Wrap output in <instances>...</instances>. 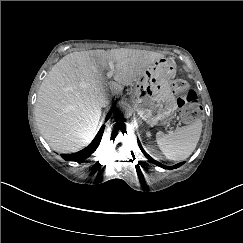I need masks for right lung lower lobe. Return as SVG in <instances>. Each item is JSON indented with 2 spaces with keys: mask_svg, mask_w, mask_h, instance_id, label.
I'll list each match as a JSON object with an SVG mask.
<instances>
[{
  "mask_svg": "<svg viewBox=\"0 0 243 243\" xmlns=\"http://www.w3.org/2000/svg\"><path fill=\"white\" fill-rule=\"evenodd\" d=\"M112 111L109 112V114L106 117V120L109 119V117L111 116ZM104 125L101 127V129L99 130L98 134L96 135V137L94 138V140L91 142V144L86 147L85 149L77 152V153H73V154H64L62 155L63 159L67 160V161H82L86 158H88L98 147L102 135H103V131H104Z\"/></svg>",
  "mask_w": 243,
  "mask_h": 243,
  "instance_id": "1",
  "label": "right lung lower lobe"
}]
</instances>
